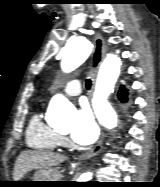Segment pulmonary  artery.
<instances>
[{
	"mask_svg": "<svg viewBox=\"0 0 160 187\" xmlns=\"http://www.w3.org/2000/svg\"><path fill=\"white\" fill-rule=\"evenodd\" d=\"M63 91L68 96H79L81 94V83L77 79H73L67 82L63 88Z\"/></svg>",
	"mask_w": 160,
	"mask_h": 187,
	"instance_id": "obj_1",
	"label": "pulmonary artery"
}]
</instances>
